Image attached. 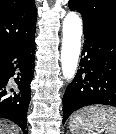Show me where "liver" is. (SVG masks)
Returning a JSON list of instances; mask_svg holds the SVG:
<instances>
[{
    "instance_id": "1",
    "label": "liver",
    "mask_w": 116,
    "mask_h": 134,
    "mask_svg": "<svg viewBox=\"0 0 116 134\" xmlns=\"http://www.w3.org/2000/svg\"><path fill=\"white\" fill-rule=\"evenodd\" d=\"M0 134H19V129L8 122L0 121Z\"/></svg>"
}]
</instances>
